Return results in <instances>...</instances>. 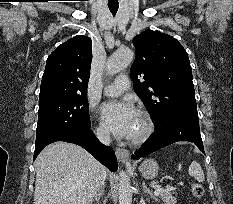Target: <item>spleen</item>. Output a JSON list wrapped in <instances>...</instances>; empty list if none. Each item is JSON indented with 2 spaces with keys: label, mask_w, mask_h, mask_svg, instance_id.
<instances>
[{
  "label": "spleen",
  "mask_w": 233,
  "mask_h": 204,
  "mask_svg": "<svg viewBox=\"0 0 233 204\" xmlns=\"http://www.w3.org/2000/svg\"><path fill=\"white\" fill-rule=\"evenodd\" d=\"M189 174L197 181L203 182L205 180L204 172L201 165L197 161H193L189 166Z\"/></svg>",
  "instance_id": "spleen-1"
}]
</instances>
